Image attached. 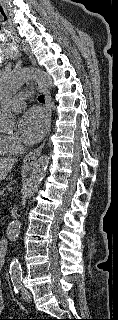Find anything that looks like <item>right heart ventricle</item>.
<instances>
[{"label":"right heart ventricle","instance_id":"obj_1","mask_svg":"<svg viewBox=\"0 0 118 320\" xmlns=\"http://www.w3.org/2000/svg\"><path fill=\"white\" fill-rule=\"evenodd\" d=\"M11 153L10 148L7 145L6 137L0 134V156Z\"/></svg>","mask_w":118,"mask_h":320}]
</instances>
